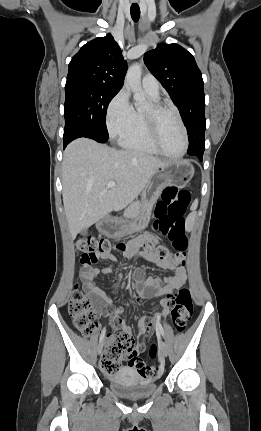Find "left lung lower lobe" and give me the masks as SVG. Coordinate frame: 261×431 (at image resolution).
Instances as JSON below:
<instances>
[{
    "mask_svg": "<svg viewBox=\"0 0 261 431\" xmlns=\"http://www.w3.org/2000/svg\"><path fill=\"white\" fill-rule=\"evenodd\" d=\"M194 156H197V157L199 158V160H201V161H202V157H203V155H194Z\"/></svg>",
    "mask_w": 261,
    "mask_h": 431,
    "instance_id": "0a47b994",
    "label": "left lung lower lobe"
}]
</instances>
